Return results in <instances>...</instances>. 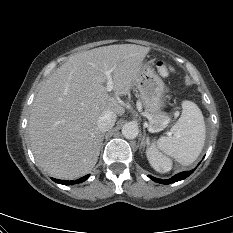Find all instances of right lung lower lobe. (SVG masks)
Returning <instances> with one entry per match:
<instances>
[{
    "mask_svg": "<svg viewBox=\"0 0 233 233\" xmlns=\"http://www.w3.org/2000/svg\"><path fill=\"white\" fill-rule=\"evenodd\" d=\"M89 177V175H86L80 179H78L77 181H64V180H58V179H52L53 181H55L56 183H59V184H63V185H73L75 183H81V182H84L85 180H87Z\"/></svg>",
    "mask_w": 233,
    "mask_h": 233,
    "instance_id": "right-lung-lower-lobe-1",
    "label": "right lung lower lobe"
}]
</instances>
